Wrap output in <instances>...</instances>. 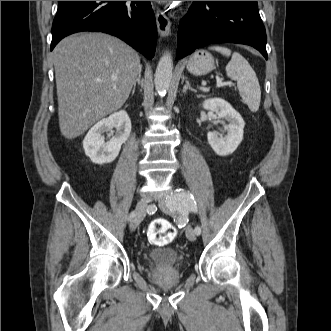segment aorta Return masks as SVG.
<instances>
[{
  "label": "aorta",
  "instance_id": "762f6f07",
  "mask_svg": "<svg viewBox=\"0 0 331 331\" xmlns=\"http://www.w3.org/2000/svg\"><path fill=\"white\" fill-rule=\"evenodd\" d=\"M173 76V59L169 52L160 58L154 75L155 89L159 95H165L169 90Z\"/></svg>",
  "mask_w": 331,
  "mask_h": 331
}]
</instances>
